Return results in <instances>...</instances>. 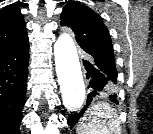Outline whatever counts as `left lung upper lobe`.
I'll list each match as a JSON object with an SVG mask.
<instances>
[{"label":"left lung upper lobe","mask_w":153,"mask_h":134,"mask_svg":"<svg viewBox=\"0 0 153 134\" xmlns=\"http://www.w3.org/2000/svg\"><path fill=\"white\" fill-rule=\"evenodd\" d=\"M61 25L70 27L80 47L95 58L115 69L110 34L102 18L91 8L77 2H68L61 13ZM117 81L108 86L114 92Z\"/></svg>","instance_id":"1"}]
</instances>
